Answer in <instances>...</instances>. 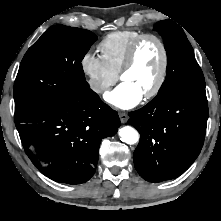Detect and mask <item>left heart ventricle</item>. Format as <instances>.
<instances>
[{
  "instance_id": "obj_1",
  "label": "left heart ventricle",
  "mask_w": 221,
  "mask_h": 221,
  "mask_svg": "<svg viewBox=\"0 0 221 221\" xmlns=\"http://www.w3.org/2000/svg\"><path fill=\"white\" fill-rule=\"evenodd\" d=\"M161 66V51L154 40L144 41L136 56L134 65L122 77V82L129 83L142 95L155 84Z\"/></svg>"
}]
</instances>
